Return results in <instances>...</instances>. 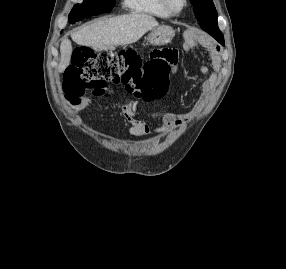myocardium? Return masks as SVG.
I'll use <instances>...</instances> for the list:
<instances>
[{
    "mask_svg": "<svg viewBox=\"0 0 286 269\" xmlns=\"http://www.w3.org/2000/svg\"><path fill=\"white\" fill-rule=\"evenodd\" d=\"M164 9L172 16L180 15L187 6V0H181L180 8L173 6L172 0H161Z\"/></svg>",
    "mask_w": 286,
    "mask_h": 269,
    "instance_id": "myocardium-1",
    "label": "myocardium"
}]
</instances>
